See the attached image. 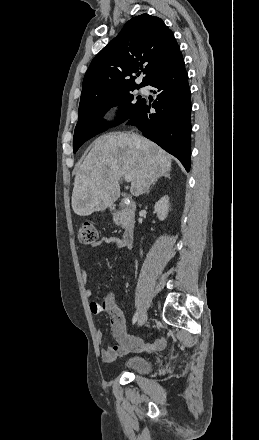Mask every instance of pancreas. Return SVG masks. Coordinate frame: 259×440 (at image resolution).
Segmentation results:
<instances>
[{
    "label": "pancreas",
    "mask_w": 259,
    "mask_h": 440,
    "mask_svg": "<svg viewBox=\"0 0 259 440\" xmlns=\"http://www.w3.org/2000/svg\"><path fill=\"white\" fill-rule=\"evenodd\" d=\"M116 224L121 225L122 228H126V219L124 215H122L120 219L116 221Z\"/></svg>",
    "instance_id": "1"
}]
</instances>
